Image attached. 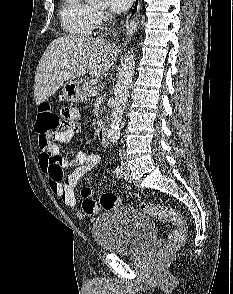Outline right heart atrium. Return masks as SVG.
Listing matches in <instances>:
<instances>
[{"label":"right heart atrium","mask_w":233,"mask_h":294,"mask_svg":"<svg viewBox=\"0 0 233 294\" xmlns=\"http://www.w3.org/2000/svg\"><path fill=\"white\" fill-rule=\"evenodd\" d=\"M97 24H102L109 20L110 16L105 11H96Z\"/></svg>","instance_id":"d8ad5b80"}]
</instances>
